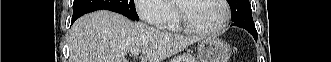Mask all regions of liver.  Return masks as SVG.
I'll list each match as a JSON object with an SVG mask.
<instances>
[{"instance_id": "6515ba94", "label": "liver", "mask_w": 331, "mask_h": 62, "mask_svg": "<svg viewBox=\"0 0 331 62\" xmlns=\"http://www.w3.org/2000/svg\"><path fill=\"white\" fill-rule=\"evenodd\" d=\"M200 39L164 32L100 10L80 17L72 26L70 62H127L125 56L134 48L142 50L141 62H162Z\"/></svg>"}]
</instances>
